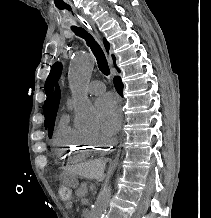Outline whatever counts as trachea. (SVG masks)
<instances>
[{
  "mask_svg": "<svg viewBox=\"0 0 211 218\" xmlns=\"http://www.w3.org/2000/svg\"><path fill=\"white\" fill-rule=\"evenodd\" d=\"M73 32L78 37L83 38L86 41V44L90 49L92 50L93 54L96 57L97 64L99 70L103 73V75L109 76L110 75V69L109 65L107 63L106 57L104 55V52L100 45L96 42V40L93 38V36L88 33L84 28L82 27H72Z\"/></svg>",
  "mask_w": 211,
  "mask_h": 218,
  "instance_id": "1",
  "label": "trachea"
}]
</instances>
